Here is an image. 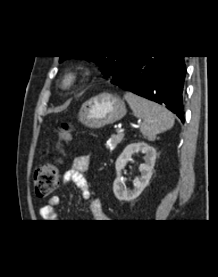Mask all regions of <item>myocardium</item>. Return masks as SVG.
Returning a JSON list of instances; mask_svg holds the SVG:
<instances>
[{
	"instance_id": "f54148a6",
	"label": "myocardium",
	"mask_w": 218,
	"mask_h": 277,
	"mask_svg": "<svg viewBox=\"0 0 218 277\" xmlns=\"http://www.w3.org/2000/svg\"><path fill=\"white\" fill-rule=\"evenodd\" d=\"M80 78V72L77 70H68L60 79L59 87L63 91L72 90L78 83Z\"/></svg>"
}]
</instances>
